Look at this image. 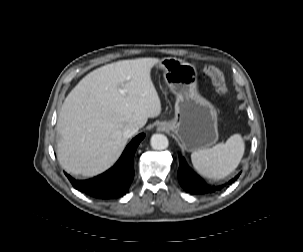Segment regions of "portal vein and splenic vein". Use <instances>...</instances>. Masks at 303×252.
<instances>
[{
  "label": "portal vein and splenic vein",
  "instance_id": "18ae733b",
  "mask_svg": "<svg viewBox=\"0 0 303 252\" xmlns=\"http://www.w3.org/2000/svg\"><path fill=\"white\" fill-rule=\"evenodd\" d=\"M121 93H123V94H124V91H123V90H121Z\"/></svg>",
  "mask_w": 303,
  "mask_h": 252
}]
</instances>
